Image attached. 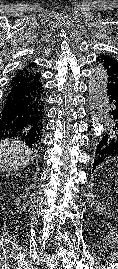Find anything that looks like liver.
<instances>
[{"label": "liver", "mask_w": 118, "mask_h": 269, "mask_svg": "<svg viewBox=\"0 0 118 269\" xmlns=\"http://www.w3.org/2000/svg\"><path fill=\"white\" fill-rule=\"evenodd\" d=\"M33 160V151L16 139L0 142V171L9 172L29 165Z\"/></svg>", "instance_id": "6515ba94"}]
</instances>
